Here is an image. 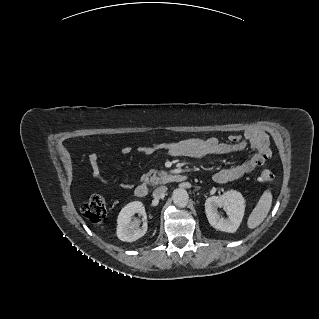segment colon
<instances>
[{"label": "colon", "instance_id": "colon-1", "mask_svg": "<svg viewBox=\"0 0 319 319\" xmlns=\"http://www.w3.org/2000/svg\"><path fill=\"white\" fill-rule=\"evenodd\" d=\"M261 153L264 157L269 158L271 151L268 144L261 148ZM263 181L269 182L274 179V174L269 170H264L260 174ZM82 213L85 218L93 223H98L105 218L106 215V202L103 196L94 194L88 198L82 205Z\"/></svg>", "mask_w": 319, "mask_h": 319}]
</instances>
